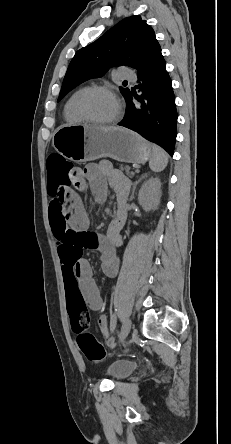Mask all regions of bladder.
<instances>
[{"label": "bladder", "mask_w": 231, "mask_h": 444, "mask_svg": "<svg viewBox=\"0 0 231 444\" xmlns=\"http://www.w3.org/2000/svg\"><path fill=\"white\" fill-rule=\"evenodd\" d=\"M135 369V363L127 360H117L110 365L107 373L113 380H122L132 374Z\"/></svg>", "instance_id": "1"}]
</instances>
